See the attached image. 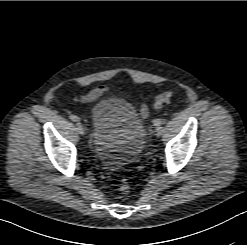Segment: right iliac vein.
Here are the masks:
<instances>
[{"label": "right iliac vein", "mask_w": 247, "mask_h": 245, "mask_svg": "<svg viewBox=\"0 0 247 245\" xmlns=\"http://www.w3.org/2000/svg\"><path fill=\"white\" fill-rule=\"evenodd\" d=\"M76 127H77V131L79 132V134L83 135L85 133L84 127L81 123H77Z\"/></svg>", "instance_id": "63e3f726"}]
</instances>
